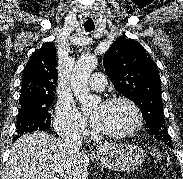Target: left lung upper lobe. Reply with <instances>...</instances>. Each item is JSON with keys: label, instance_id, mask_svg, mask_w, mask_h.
<instances>
[{"label": "left lung upper lobe", "instance_id": "1", "mask_svg": "<svg viewBox=\"0 0 183 179\" xmlns=\"http://www.w3.org/2000/svg\"><path fill=\"white\" fill-rule=\"evenodd\" d=\"M103 64L115 89L139 106L150 132L169 143L159 71L149 53L137 41L120 37L105 53Z\"/></svg>", "mask_w": 183, "mask_h": 179}]
</instances>
